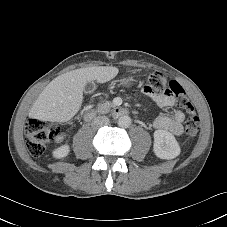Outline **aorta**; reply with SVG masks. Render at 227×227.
Wrapping results in <instances>:
<instances>
[{
  "label": "aorta",
  "instance_id": "aorta-1",
  "mask_svg": "<svg viewBox=\"0 0 227 227\" xmlns=\"http://www.w3.org/2000/svg\"><path fill=\"white\" fill-rule=\"evenodd\" d=\"M131 118L128 115H123L118 119V126L121 128H128L131 125Z\"/></svg>",
  "mask_w": 227,
  "mask_h": 227
}]
</instances>
